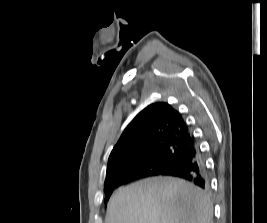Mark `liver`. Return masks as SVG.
<instances>
[{
  "mask_svg": "<svg viewBox=\"0 0 267 223\" xmlns=\"http://www.w3.org/2000/svg\"><path fill=\"white\" fill-rule=\"evenodd\" d=\"M210 198L184 180L154 177L115 191L105 223H212Z\"/></svg>",
  "mask_w": 267,
  "mask_h": 223,
  "instance_id": "1",
  "label": "liver"
}]
</instances>
